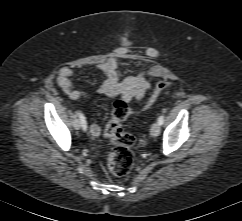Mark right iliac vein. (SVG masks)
<instances>
[{
    "instance_id": "obj_1",
    "label": "right iliac vein",
    "mask_w": 242,
    "mask_h": 221,
    "mask_svg": "<svg viewBox=\"0 0 242 221\" xmlns=\"http://www.w3.org/2000/svg\"><path fill=\"white\" fill-rule=\"evenodd\" d=\"M73 126L75 129H79L81 127V122L79 121V119H75Z\"/></svg>"
}]
</instances>
